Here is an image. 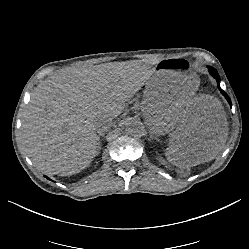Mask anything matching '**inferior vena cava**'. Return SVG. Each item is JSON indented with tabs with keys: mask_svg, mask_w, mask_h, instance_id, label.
<instances>
[{
	"mask_svg": "<svg viewBox=\"0 0 249 249\" xmlns=\"http://www.w3.org/2000/svg\"><path fill=\"white\" fill-rule=\"evenodd\" d=\"M97 131H108L112 127V119L106 116H101L95 121Z\"/></svg>",
	"mask_w": 249,
	"mask_h": 249,
	"instance_id": "602c4592",
	"label": "inferior vena cava"
}]
</instances>
